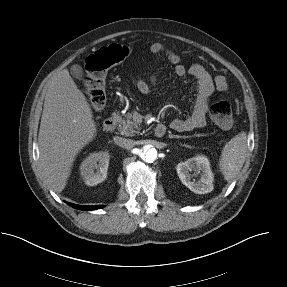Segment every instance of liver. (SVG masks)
<instances>
[{
	"label": "liver",
	"mask_w": 287,
	"mask_h": 287,
	"mask_svg": "<svg viewBox=\"0 0 287 287\" xmlns=\"http://www.w3.org/2000/svg\"><path fill=\"white\" fill-rule=\"evenodd\" d=\"M96 130L85 95L63 69L48 84L38 134L40 166L54 191L65 188L77 154Z\"/></svg>",
	"instance_id": "liver-1"
}]
</instances>
